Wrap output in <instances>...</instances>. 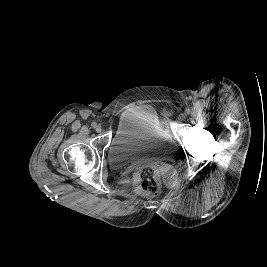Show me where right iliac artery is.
I'll return each instance as SVG.
<instances>
[{
  "instance_id": "1",
  "label": "right iliac artery",
  "mask_w": 267,
  "mask_h": 267,
  "mask_svg": "<svg viewBox=\"0 0 267 267\" xmlns=\"http://www.w3.org/2000/svg\"><path fill=\"white\" fill-rule=\"evenodd\" d=\"M91 126H92L93 128H95V127H96V123L93 122V123L91 124Z\"/></svg>"
}]
</instances>
